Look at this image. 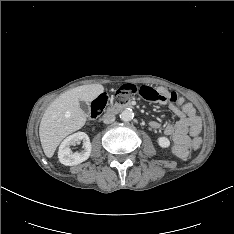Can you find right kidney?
<instances>
[{
    "mask_svg": "<svg viewBox=\"0 0 234 234\" xmlns=\"http://www.w3.org/2000/svg\"><path fill=\"white\" fill-rule=\"evenodd\" d=\"M79 141H83V150L72 153L70 147ZM91 150L92 146L88 135L84 132H77L63 140L59 147L58 158L63 165H78L89 158Z\"/></svg>",
    "mask_w": 234,
    "mask_h": 234,
    "instance_id": "1",
    "label": "right kidney"
}]
</instances>
